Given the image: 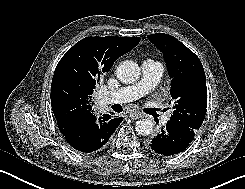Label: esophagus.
<instances>
[{
    "label": "esophagus",
    "mask_w": 245,
    "mask_h": 189,
    "mask_svg": "<svg viewBox=\"0 0 245 189\" xmlns=\"http://www.w3.org/2000/svg\"><path fill=\"white\" fill-rule=\"evenodd\" d=\"M140 113L138 111H132L129 113V117L133 120L139 119L140 118Z\"/></svg>",
    "instance_id": "obj_1"
}]
</instances>
